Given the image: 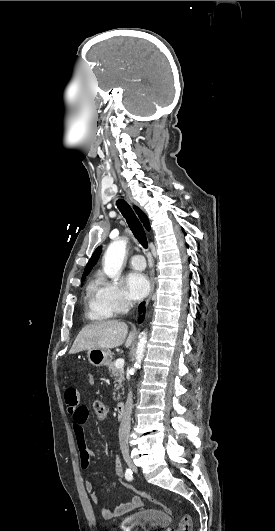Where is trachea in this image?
<instances>
[{"instance_id":"3493384b","label":"trachea","mask_w":275,"mask_h":531,"mask_svg":"<svg viewBox=\"0 0 275 531\" xmlns=\"http://www.w3.org/2000/svg\"><path fill=\"white\" fill-rule=\"evenodd\" d=\"M116 204L118 206V209L120 210V212L126 219L128 226L131 229L132 233L134 234L135 238L139 241V243L145 249H147L148 243H147V237H146L145 231L139 219L137 218L134 211L132 210V208L123 199H119Z\"/></svg>"}]
</instances>
